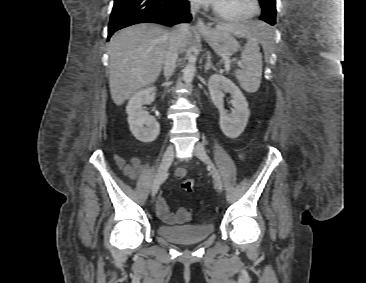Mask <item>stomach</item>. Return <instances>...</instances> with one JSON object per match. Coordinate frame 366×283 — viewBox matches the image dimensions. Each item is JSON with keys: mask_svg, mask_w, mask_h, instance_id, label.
Listing matches in <instances>:
<instances>
[{"mask_svg": "<svg viewBox=\"0 0 366 283\" xmlns=\"http://www.w3.org/2000/svg\"><path fill=\"white\" fill-rule=\"evenodd\" d=\"M199 34L211 46L217 55L224 56L238 51L240 45L227 31L215 28L200 31Z\"/></svg>", "mask_w": 366, "mask_h": 283, "instance_id": "1", "label": "stomach"}]
</instances>
